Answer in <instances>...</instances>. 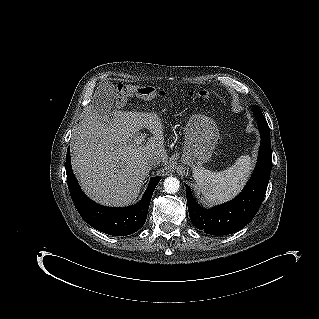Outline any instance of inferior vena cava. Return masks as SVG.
I'll list each match as a JSON object with an SVG mask.
<instances>
[{
	"mask_svg": "<svg viewBox=\"0 0 319 319\" xmlns=\"http://www.w3.org/2000/svg\"><path fill=\"white\" fill-rule=\"evenodd\" d=\"M161 162H162V159L160 156H152L147 160V165L150 167H154L161 164Z\"/></svg>",
	"mask_w": 319,
	"mask_h": 319,
	"instance_id": "1",
	"label": "inferior vena cava"
}]
</instances>
